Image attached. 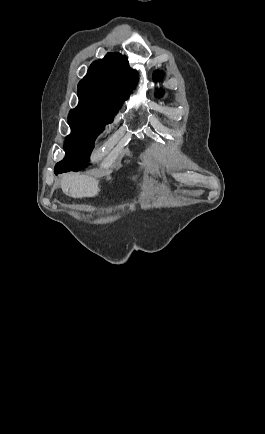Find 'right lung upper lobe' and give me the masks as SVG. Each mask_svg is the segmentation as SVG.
<instances>
[{"label": "right lung upper lobe", "instance_id": "1", "mask_svg": "<svg viewBox=\"0 0 265 434\" xmlns=\"http://www.w3.org/2000/svg\"><path fill=\"white\" fill-rule=\"evenodd\" d=\"M137 80V73L129 67L126 56L108 53L91 64L87 75L79 82L78 91L94 92L122 104Z\"/></svg>", "mask_w": 265, "mask_h": 434}]
</instances>
